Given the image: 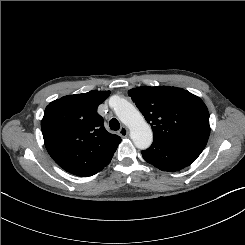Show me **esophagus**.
Listing matches in <instances>:
<instances>
[{
    "label": "esophagus",
    "mask_w": 245,
    "mask_h": 245,
    "mask_svg": "<svg viewBox=\"0 0 245 245\" xmlns=\"http://www.w3.org/2000/svg\"><path fill=\"white\" fill-rule=\"evenodd\" d=\"M119 135L122 137V138H124V137H126L127 135H128V129L125 127V126H122L121 128H120V130H119Z\"/></svg>",
    "instance_id": "obj_1"
}]
</instances>
